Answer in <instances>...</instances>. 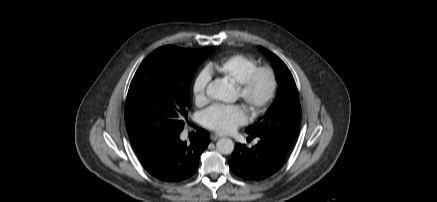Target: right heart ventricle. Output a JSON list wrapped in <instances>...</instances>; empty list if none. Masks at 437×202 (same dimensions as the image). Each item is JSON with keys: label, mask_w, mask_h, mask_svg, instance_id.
<instances>
[{"label": "right heart ventricle", "mask_w": 437, "mask_h": 202, "mask_svg": "<svg viewBox=\"0 0 437 202\" xmlns=\"http://www.w3.org/2000/svg\"><path fill=\"white\" fill-rule=\"evenodd\" d=\"M257 67V61L244 54H233L208 64V71H215L235 83H240L246 75Z\"/></svg>", "instance_id": "e07e8e85"}]
</instances>
